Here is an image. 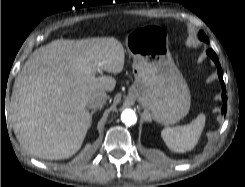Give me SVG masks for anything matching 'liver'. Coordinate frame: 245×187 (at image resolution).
Returning a JSON list of instances; mask_svg holds the SVG:
<instances>
[{
	"instance_id": "obj_1",
	"label": "liver",
	"mask_w": 245,
	"mask_h": 187,
	"mask_svg": "<svg viewBox=\"0 0 245 187\" xmlns=\"http://www.w3.org/2000/svg\"><path fill=\"white\" fill-rule=\"evenodd\" d=\"M124 48L114 37L54 40L35 50L17 75L10 119L21 146L49 160L66 159L82 146L91 125L88 97L112 91L111 76L124 67Z\"/></svg>"
}]
</instances>
